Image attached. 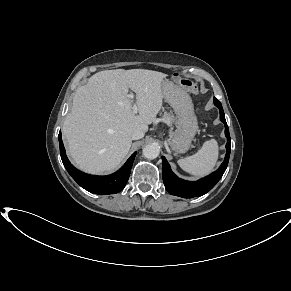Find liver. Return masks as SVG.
<instances>
[{"label":"liver","instance_id":"liver-1","mask_svg":"<svg viewBox=\"0 0 291 291\" xmlns=\"http://www.w3.org/2000/svg\"><path fill=\"white\" fill-rule=\"evenodd\" d=\"M165 78L144 69L106 70L79 87L62 128L74 163L88 173L115 170L129 152L132 132H147L161 110ZM129 88L139 115L133 113Z\"/></svg>","mask_w":291,"mask_h":291}]
</instances>
